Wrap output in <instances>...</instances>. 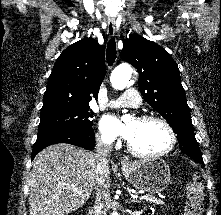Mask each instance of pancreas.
Listing matches in <instances>:
<instances>
[{
    "label": "pancreas",
    "instance_id": "obj_1",
    "mask_svg": "<svg viewBox=\"0 0 221 215\" xmlns=\"http://www.w3.org/2000/svg\"><path fill=\"white\" fill-rule=\"evenodd\" d=\"M147 202L153 203L154 205H164V201L157 199L152 196H148V199H145Z\"/></svg>",
    "mask_w": 221,
    "mask_h": 215
}]
</instances>
